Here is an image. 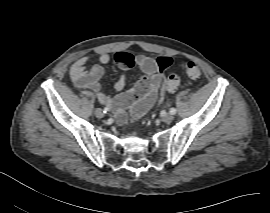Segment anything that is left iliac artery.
<instances>
[{
	"label": "left iliac artery",
	"instance_id": "obj_1",
	"mask_svg": "<svg viewBox=\"0 0 270 213\" xmlns=\"http://www.w3.org/2000/svg\"><path fill=\"white\" fill-rule=\"evenodd\" d=\"M169 112L170 114L174 115L176 114L177 110L175 108H171Z\"/></svg>",
	"mask_w": 270,
	"mask_h": 213
}]
</instances>
